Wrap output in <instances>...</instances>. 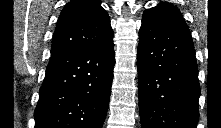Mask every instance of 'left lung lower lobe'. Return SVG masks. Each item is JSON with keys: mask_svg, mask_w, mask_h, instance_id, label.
Instances as JSON below:
<instances>
[{"mask_svg": "<svg viewBox=\"0 0 221 128\" xmlns=\"http://www.w3.org/2000/svg\"><path fill=\"white\" fill-rule=\"evenodd\" d=\"M137 67L142 128H196L200 86L191 34L142 18Z\"/></svg>", "mask_w": 221, "mask_h": 128, "instance_id": "left-lung-lower-lobe-1", "label": "left lung lower lobe"}]
</instances>
